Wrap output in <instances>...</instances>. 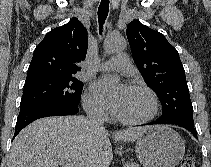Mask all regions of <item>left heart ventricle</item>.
I'll use <instances>...</instances> for the list:
<instances>
[{"mask_svg": "<svg viewBox=\"0 0 211 167\" xmlns=\"http://www.w3.org/2000/svg\"><path fill=\"white\" fill-rule=\"evenodd\" d=\"M151 112V101L147 94L131 89L119 115L129 119H141Z\"/></svg>", "mask_w": 211, "mask_h": 167, "instance_id": "b2bd125f", "label": "left heart ventricle"}]
</instances>
